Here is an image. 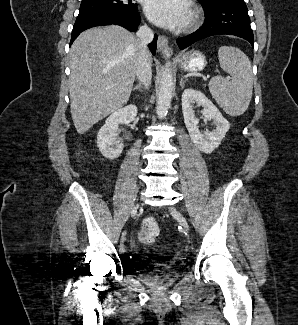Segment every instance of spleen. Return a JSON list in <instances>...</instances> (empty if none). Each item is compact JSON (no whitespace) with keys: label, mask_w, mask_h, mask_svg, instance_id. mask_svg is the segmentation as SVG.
<instances>
[{"label":"spleen","mask_w":298,"mask_h":325,"mask_svg":"<svg viewBox=\"0 0 298 325\" xmlns=\"http://www.w3.org/2000/svg\"><path fill=\"white\" fill-rule=\"evenodd\" d=\"M218 56L221 68L230 74L231 80L214 76L209 80V90L226 114L240 116L247 110L252 98L251 62L247 54L236 46H220Z\"/></svg>","instance_id":"spleen-1"}]
</instances>
